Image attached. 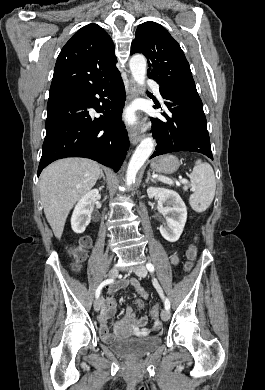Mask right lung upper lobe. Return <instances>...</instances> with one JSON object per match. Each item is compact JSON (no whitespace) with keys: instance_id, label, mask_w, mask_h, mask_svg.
I'll use <instances>...</instances> for the list:
<instances>
[{"instance_id":"obj_1","label":"right lung upper lobe","mask_w":265,"mask_h":390,"mask_svg":"<svg viewBox=\"0 0 265 390\" xmlns=\"http://www.w3.org/2000/svg\"><path fill=\"white\" fill-rule=\"evenodd\" d=\"M110 36L97 24H88L62 48L54 68L49 98L71 94L117 71Z\"/></svg>"}]
</instances>
